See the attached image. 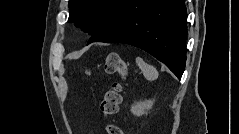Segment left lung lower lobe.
<instances>
[{"label": "left lung lower lobe", "mask_w": 239, "mask_h": 134, "mask_svg": "<svg viewBox=\"0 0 239 134\" xmlns=\"http://www.w3.org/2000/svg\"><path fill=\"white\" fill-rule=\"evenodd\" d=\"M187 11L184 0H124L92 42L136 46L163 62L181 79L186 61Z\"/></svg>", "instance_id": "obj_1"}]
</instances>
